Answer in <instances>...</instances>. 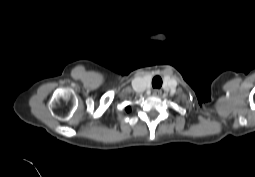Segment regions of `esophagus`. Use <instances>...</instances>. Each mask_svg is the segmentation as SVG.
Wrapping results in <instances>:
<instances>
[{"instance_id":"34e87169","label":"esophagus","mask_w":255,"mask_h":177,"mask_svg":"<svg viewBox=\"0 0 255 177\" xmlns=\"http://www.w3.org/2000/svg\"><path fill=\"white\" fill-rule=\"evenodd\" d=\"M161 93H162V91L160 89H154L153 90V95L154 96H159V95H161Z\"/></svg>"}]
</instances>
